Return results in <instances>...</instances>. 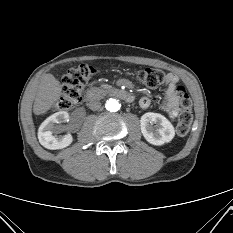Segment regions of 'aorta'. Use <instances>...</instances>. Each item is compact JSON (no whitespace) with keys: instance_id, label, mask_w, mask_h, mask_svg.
<instances>
[{"instance_id":"aorta-1","label":"aorta","mask_w":233,"mask_h":233,"mask_svg":"<svg viewBox=\"0 0 233 233\" xmlns=\"http://www.w3.org/2000/svg\"><path fill=\"white\" fill-rule=\"evenodd\" d=\"M105 107L110 112H116L120 109L121 104L118 102V100L110 98L107 100Z\"/></svg>"}]
</instances>
